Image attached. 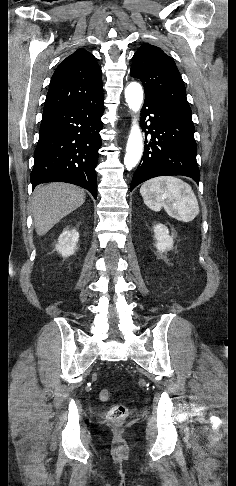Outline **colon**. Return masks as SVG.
Returning a JSON list of instances; mask_svg holds the SVG:
<instances>
[{"label":"colon","mask_w":236,"mask_h":486,"mask_svg":"<svg viewBox=\"0 0 236 486\" xmlns=\"http://www.w3.org/2000/svg\"><path fill=\"white\" fill-rule=\"evenodd\" d=\"M110 396H111V393L107 389L101 390L98 394V398L102 402L108 401ZM128 414H129L128 407L125 406V405L119 404V405L113 406L110 409V411L108 413V418L112 423L121 424L128 417Z\"/></svg>","instance_id":"obj_1"}]
</instances>
